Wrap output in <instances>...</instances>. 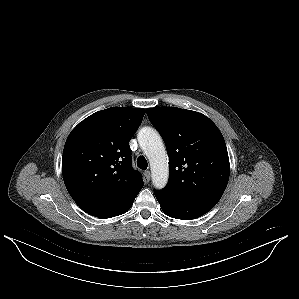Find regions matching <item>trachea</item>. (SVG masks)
I'll return each mask as SVG.
<instances>
[{"mask_svg":"<svg viewBox=\"0 0 299 299\" xmlns=\"http://www.w3.org/2000/svg\"><path fill=\"white\" fill-rule=\"evenodd\" d=\"M137 166L142 170H145L147 168L148 163L144 156H140L137 159Z\"/></svg>","mask_w":299,"mask_h":299,"instance_id":"3493384b","label":"trachea"}]
</instances>
